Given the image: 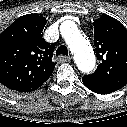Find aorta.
<instances>
[{
    "label": "aorta",
    "mask_w": 127,
    "mask_h": 127,
    "mask_svg": "<svg viewBox=\"0 0 127 127\" xmlns=\"http://www.w3.org/2000/svg\"><path fill=\"white\" fill-rule=\"evenodd\" d=\"M61 33L74 53L79 70L90 73L95 67V55L89 41L79 32L73 21H65L61 25Z\"/></svg>",
    "instance_id": "1"
}]
</instances>
